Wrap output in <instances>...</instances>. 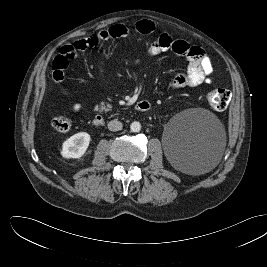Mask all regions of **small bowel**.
I'll return each mask as SVG.
<instances>
[{"mask_svg": "<svg viewBox=\"0 0 267 267\" xmlns=\"http://www.w3.org/2000/svg\"><path fill=\"white\" fill-rule=\"evenodd\" d=\"M154 29L155 25L151 20L144 19L136 23V31L140 35H148ZM128 34L129 30L125 25L115 24L94 35L80 38L72 44L63 46L53 62L52 77L54 81L57 83L63 81L64 70L78 51L94 48L109 39L125 38ZM147 51L153 55L172 51L185 58L186 70L178 73L171 82V87L174 89L196 87L204 83L209 84L212 81L213 65L211 59L199 46L191 45L184 40L173 39L168 34H162L147 47ZM63 91L66 93L65 90ZM72 107L74 111H80L82 108L79 103H74Z\"/></svg>", "mask_w": 267, "mask_h": 267, "instance_id": "obj_1", "label": "small bowel"}]
</instances>
